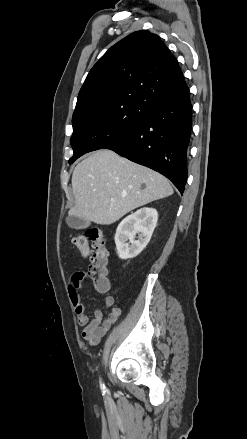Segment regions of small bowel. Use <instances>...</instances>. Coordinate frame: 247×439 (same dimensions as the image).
<instances>
[{
    "label": "small bowel",
    "instance_id": "small-bowel-1",
    "mask_svg": "<svg viewBox=\"0 0 247 439\" xmlns=\"http://www.w3.org/2000/svg\"><path fill=\"white\" fill-rule=\"evenodd\" d=\"M87 274L83 271L74 272L68 282L69 298L72 303L76 320L79 326L84 327L82 337L90 344H98L101 338L111 329L121 315V310L115 306V299L107 296L103 303L105 314L101 310L94 312L90 320L85 312V306L81 301L79 290Z\"/></svg>",
    "mask_w": 247,
    "mask_h": 439
}]
</instances>
